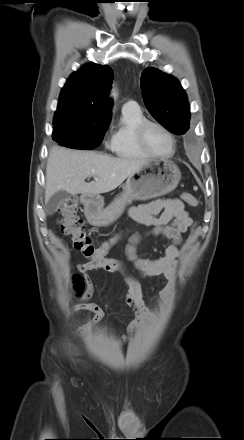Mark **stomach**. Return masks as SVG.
I'll return each mask as SVG.
<instances>
[{
    "label": "stomach",
    "mask_w": 244,
    "mask_h": 440,
    "mask_svg": "<svg viewBox=\"0 0 244 440\" xmlns=\"http://www.w3.org/2000/svg\"><path fill=\"white\" fill-rule=\"evenodd\" d=\"M181 172L171 160H149L140 170L131 174L123 193L108 207L99 195H82L88 222L94 226H107L117 220L133 200H148L172 192L179 184Z\"/></svg>",
    "instance_id": "stomach-1"
}]
</instances>
